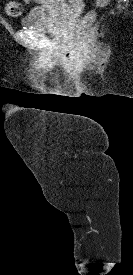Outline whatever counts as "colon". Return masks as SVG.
I'll return each mask as SVG.
<instances>
[{"instance_id":"1","label":"colon","mask_w":133,"mask_h":275,"mask_svg":"<svg viewBox=\"0 0 133 275\" xmlns=\"http://www.w3.org/2000/svg\"><path fill=\"white\" fill-rule=\"evenodd\" d=\"M99 5L102 6L101 4ZM5 9H6V13L13 17L19 16L21 14V5L15 1L7 2Z\"/></svg>"}]
</instances>
